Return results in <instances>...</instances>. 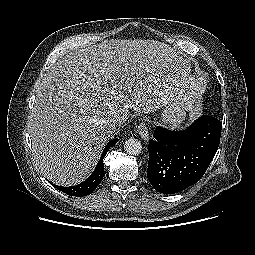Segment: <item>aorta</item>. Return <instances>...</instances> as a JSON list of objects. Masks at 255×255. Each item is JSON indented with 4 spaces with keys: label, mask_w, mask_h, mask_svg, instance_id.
<instances>
[{
    "label": "aorta",
    "mask_w": 255,
    "mask_h": 255,
    "mask_svg": "<svg viewBox=\"0 0 255 255\" xmlns=\"http://www.w3.org/2000/svg\"><path fill=\"white\" fill-rule=\"evenodd\" d=\"M124 150L129 155H139L142 151V145L139 140L135 138H129L125 141Z\"/></svg>",
    "instance_id": "aorta-1"
}]
</instances>
